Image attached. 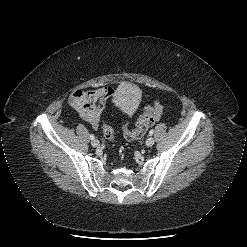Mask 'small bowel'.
<instances>
[{
    "label": "small bowel",
    "mask_w": 247,
    "mask_h": 247,
    "mask_svg": "<svg viewBox=\"0 0 247 247\" xmlns=\"http://www.w3.org/2000/svg\"><path fill=\"white\" fill-rule=\"evenodd\" d=\"M115 95L116 89L110 86L77 90L70 95L69 104L83 120L97 128L102 109L114 99Z\"/></svg>",
    "instance_id": "small-bowel-1"
}]
</instances>
